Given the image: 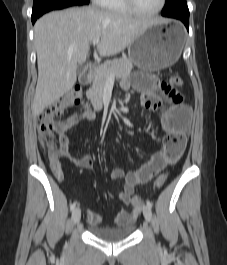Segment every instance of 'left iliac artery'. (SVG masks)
Returning a JSON list of instances; mask_svg holds the SVG:
<instances>
[{
  "label": "left iliac artery",
  "instance_id": "left-iliac-artery-1",
  "mask_svg": "<svg viewBox=\"0 0 227 265\" xmlns=\"http://www.w3.org/2000/svg\"><path fill=\"white\" fill-rule=\"evenodd\" d=\"M146 204H147V206H148L150 209H151L152 206H153V204H152L149 200L146 201Z\"/></svg>",
  "mask_w": 227,
  "mask_h": 265
}]
</instances>
